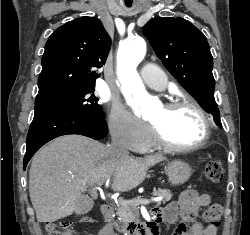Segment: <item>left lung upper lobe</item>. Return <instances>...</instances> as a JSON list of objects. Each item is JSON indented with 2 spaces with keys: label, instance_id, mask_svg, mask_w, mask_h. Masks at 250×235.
Listing matches in <instances>:
<instances>
[{
  "label": "left lung upper lobe",
  "instance_id": "obj_1",
  "mask_svg": "<svg viewBox=\"0 0 250 235\" xmlns=\"http://www.w3.org/2000/svg\"><path fill=\"white\" fill-rule=\"evenodd\" d=\"M142 31L167 70L221 125L213 95V58L204 34L181 17L153 18Z\"/></svg>",
  "mask_w": 250,
  "mask_h": 235
}]
</instances>
